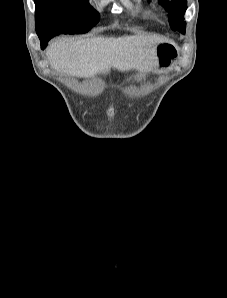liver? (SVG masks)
<instances>
[{"instance_id": "1", "label": "liver", "mask_w": 227, "mask_h": 298, "mask_svg": "<svg viewBox=\"0 0 227 298\" xmlns=\"http://www.w3.org/2000/svg\"><path fill=\"white\" fill-rule=\"evenodd\" d=\"M166 41L146 35L69 37L52 42L46 55L55 70L81 78L107 74L111 68L149 72L158 65V44Z\"/></svg>"}]
</instances>
